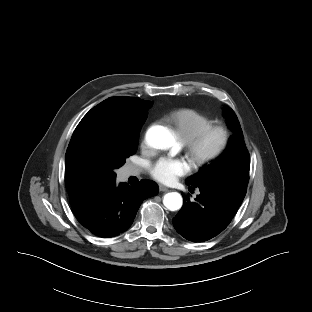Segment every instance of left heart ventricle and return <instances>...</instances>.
Segmentation results:
<instances>
[{
	"label": "left heart ventricle",
	"instance_id": "left-heart-ventricle-1",
	"mask_svg": "<svg viewBox=\"0 0 312 312\" xmlns=\"http://www.w3.org/2000/svg\"><path fill=\"white\" fill-rule=\"evenodd\" d=\"M217 140H218V139H217L216 136L210 138V139L208 140L207 144H206V149H211V148H213V147L216 145Z\"/></svg>",
	"mask_w": 312,
	"mask_h": 312
}]
</instances>
